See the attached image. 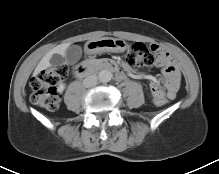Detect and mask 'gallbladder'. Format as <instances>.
Returning <instances> with one entry per match:
<instances>
[{
  "label": "gallbladder",
  "instance_id": "gallbladder-1",
  "mask_svg": "<svg viewBox=\"0 0 219 174\" xmlns=\"http://www.w3.org/2000/svg\"><path fill=\"white\" fill-rule=\"evenodd\" d=\"M67 63L75 64L82 56V49L78 45H72L67 49Z\"/></svg>",
  "mask_w": 219,
  "mask_h": 174
}]
</instances>
